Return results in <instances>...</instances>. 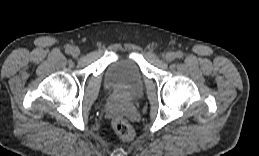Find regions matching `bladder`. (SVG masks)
I'll return each instance as SVG.
<instances>
[{"label": "bladder", "instance_id": "1", "mask_svg": "<svg viewBox=\"0 0 259 156\" xmlns=\"http://www.w3.org/2000/svg\"><path fill=\"white\" fill-rule=\"evenodd\" d=\"M104 84L109 91L135 99L143 92L144 75L134 59L124 57L108 67Z\"/></svg>", "mask_w": 259, "mask_h": 156}]
</instances>
